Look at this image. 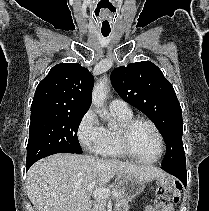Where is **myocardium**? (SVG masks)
<instances>
[{"instance_id":"1","label":"myocardium","mask_w":209,"mask_h":211,"mask_svg":"<svg viewBox=\"0 0 209 211\" xmlns=\"http://www.w3.org/2000/svg\"><path fill=\"white\" fill-rule=\"evenodd\" d=\"M141 123L149 125L156 133L159 140V153L156 158L152 160H143L139 158L131 149L130 139L135 127ZM119 142L123 153L130 159L145 165H152L157 163L163 156L165 151V140L159 127L150 119L145 117H133L123 122L119 127Z\"/></svg>"}]
</instances>
